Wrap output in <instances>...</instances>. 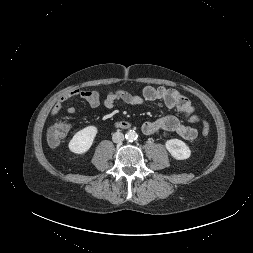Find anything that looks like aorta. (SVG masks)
I'll list each match as a JSON object with an SVG mask.
<instances>
[{
  "mask_svg": "<svg viewBox=\"0 0 253 253\" xmlns=\"http://www.w3.org/2000/svg\"><path fill=\"white\" fill-rule=\"evenodd\" d=\"M138 137L137 133L134 130H129L126 134H125V138L132 142L134 140H136Z\"/></svg>",
  "mask_w": 253,
  "mask_h": 253,
  "instance_id": "obj_1",
  "label": "aorta"
}]
</instances>
